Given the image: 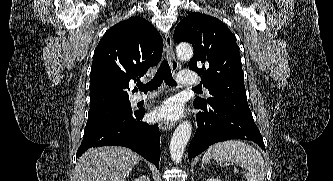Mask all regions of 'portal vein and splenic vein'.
Listing matches in <instances>:
<instances>
[{
    "label": "portal vein and splenic vein",
    "instance_id": "18ae733b",
    "mask_svg": "<svg viewBox=\"0 0 333 181\" xmlns=\"http://www.w3.org/2000/svg\"><path fill=\"white\" fill-rule=\"evenodd\" d=\"M234 172H237V169H236V168L234 169Z\"/></svg>",
    "mask_w": 333,
    "mask_h": 181
}]
</instances>
